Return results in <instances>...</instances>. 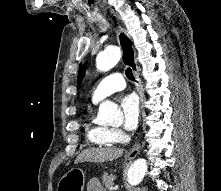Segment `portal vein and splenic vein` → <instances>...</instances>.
Masks as SVG:
<instances>
[{"mask_svg": "<svg viewBox=\"0 0 221 191\" xmlns=\"http://www.w3.org/2000/svg\"><path fill=\"white\" fill-rule=\"evenodd\" d=\"M117 185L116 186H112L111 188H110V190H113V189H117Z\"/></svg>", "mask_w": 221, "mask_h": 191, "instance_id": "portal-vein-and-splenic-vein-1", "label": "portal vein and splenic vein"}]
</instances>
